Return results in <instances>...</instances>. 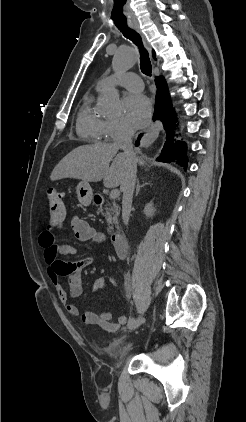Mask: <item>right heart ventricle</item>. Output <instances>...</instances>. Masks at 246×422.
<instances>
[{
  "label": "right heart ventricle",
  "mask_w": 246,
  "mask_h": 422,
  "mask_svg": "<svg viewBox=\"0 0 246 422\" xmlns=\"http://www.w3.org/2000/svg\"><path fill=\"white\" fill-rule=\"evenodd\" d=\"M94 98L86 95L79 109L76 130L84 138L97 142L102 140L105 120L94 109Z\"/></svg>",
  "instance_id": "1"
}]
</instances>
